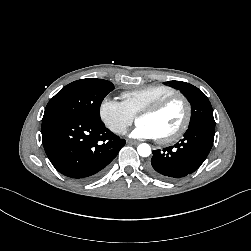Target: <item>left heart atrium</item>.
<instances>
[{"label":"left heart atrium","instance_id":"39dd6f15","mask_svg":"<svg viewBox=\"0 0 251 251\" xmlns=\"http://www.w3.org/2000/svg\"><path fill=\"white\" fill-rule=\"evenodd\" d=\"M132 138L137 139H155L158 138L155 131L147 124L138 122L136 127L130 133Z\"/></svg>","mask_w":251,"mask_h":251}]
</instances>
